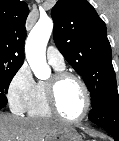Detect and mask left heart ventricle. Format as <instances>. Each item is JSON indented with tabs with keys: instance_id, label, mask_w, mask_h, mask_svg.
Masks as SVG:
<instances>
[{
	"instance_id": "b2bd125f",
	"label": "left heart ventricle",
	"mask_w": 119,
	"mask_h": 141,
	"mask_svg": "<svg viewBox=\"0 0 119 141\" xmlns=\"http://www.w3.org/2000/svg\"><path fill=\"white\" fill-rule=\"evenodd\" d=\"M57 103L64 116H80L85 108V96L78 82L74 79L64 80L57 88Z\"/></svg>"
}]
</instances>
